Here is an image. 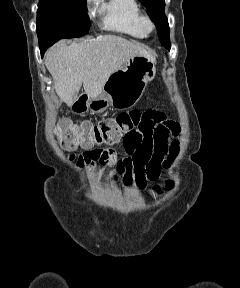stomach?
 <instances>
[{
  "instance_id": "obj_1",
  "label": "stomach",
  "mask_w": 240,
  "mask_h": 288,
  "mask_svg": "<svg viewBox=\"0 0 240 288\" xmlns=\"http://www.w3.org/2000/svg\"><path fill=\"white\" fill-rule=\"evenodd\" d=\"M153 58L136 55L106 81L102 93L90 99L88 107L92 112H102L108 107L127 109L134 106L144 93L145 87L156 74Z\"/></svg>"
}]
</instances>
